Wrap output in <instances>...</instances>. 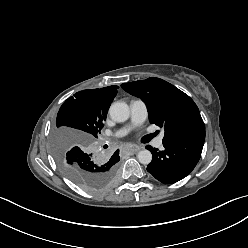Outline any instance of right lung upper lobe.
<instances>
[{"mask_svg":"<svg viewBox=\"0 0 248 248\" xmlns=\"http://www.w3.org/2000/svg\"><path fill=\"white\" fill-rule=\"evenodd\" d=\"M117 86H108L101 89L83 90L80 93L85 97L88 107L95 111L108 112L109 106L117 94ZM118 154L115 153L114 156Z\"/></svg>","mask_w":248,"mask_h":248,"instance_id":"cb5924a9","label":"right lung upper lobe"}]
</instances>
